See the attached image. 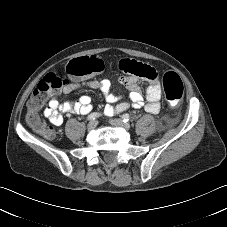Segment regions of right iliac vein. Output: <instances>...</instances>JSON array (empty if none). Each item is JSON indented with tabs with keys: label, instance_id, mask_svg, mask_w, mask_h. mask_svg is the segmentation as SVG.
<instances>
[{
	"label": "right iliac vein",
	"instance_id": "obj_1",
	"mask_svg": "<svg viewBox=\"0 0 227 227\" xmlns=\"http://www.w3.org/2000/svg\"><path fill=\"white\" fill-rule=\"evenodd\" d=\"M96 126H97V121H96V120H92V121H90V122L88 123L87 128H88L89 130H93L94 128H96Z\"/></svg>",
	"mask_w": 227,
	"mask_h": 227
}]
</instances>
